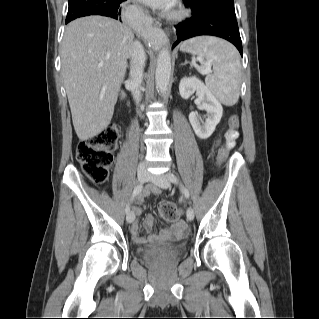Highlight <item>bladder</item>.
Segmentation results:
<instances>
[{
    "label": "bladder",
    "instance_id": "bladder-1",
    "mask_svg": "<svg viewBox=\"0 0 319 319\" xmlns=\"http://www.w3.org/2000/svg\"><path fill=\"white\" fill-rule=\"evenodd\" d=\"M160 247L170 249L174 253H185L187 250V246L184 241L166 242L164 244H161ZM152 249H153V246L146 245L139 248L138 253L140 255H145L147 252L151 251Z\"/></svg>",
    "mask_w": 319,
    "mask_h": 319
}]
</instances>
